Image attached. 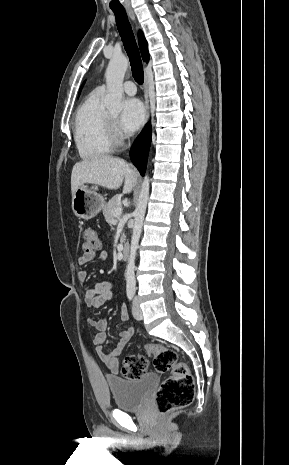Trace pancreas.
<instances>
[{"label": "pancreas", "instance_id": "1", "mask_svg": "<svg viewBox=\"0 0 289 465\" xmlns=\"http://www.w3.org/2000/svg\"><path fill=\"white\" fill-rule=\"evenodd\" d=\"M121 208L120 204V196L116 195L108 203H106L103 207V215L105 217L106 222L111 223L113 221V213L115 210ZM124 240V235L121 238Z\"/></svg>", "mask_w": 289, "mask_h": 465}]
</instances>
